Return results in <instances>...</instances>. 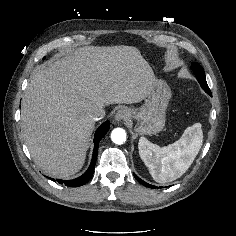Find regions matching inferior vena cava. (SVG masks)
Masks as SVG:
<instances>
[{"label": "inferior vena cava", "mask_w": 236, "mask_h": 236, "mask_svg": "<svg viewBox=\"0 0 236 236\" xmlns=\"http://www.w3.org/2000/svg\"><path fill=\"white\" fill-rule=\"evenodd\" d=\"M104 116H105V110L103 108L95 107L90 111V117L95 121L104 118Z\"/></svg>", "instance_id": "obj_1"}]
</instances>
